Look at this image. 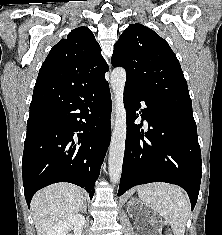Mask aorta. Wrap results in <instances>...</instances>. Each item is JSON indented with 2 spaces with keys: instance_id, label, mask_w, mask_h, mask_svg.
Masks as SVG:
<instances>
[{
  "instance_id": "obj_1",
  "label": "aorta",
  "mask_w": 222,
  "mask_h": 235,
  "mask_svg": "<svg viewBox=\"0 0 222 235\" xmlns=\"http://www.w3.org/2000/svg\"><path fill=\"white\" fill-rule=\"evenodd\" d=\"M126 82V71L122 67L113 69L111 73V86L114 93L115 103V125L112 133L108 171L113 184H117L121 177L125 140H126V110L124 107V87Z\"/></svg>"
}]
</instances>
